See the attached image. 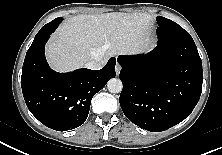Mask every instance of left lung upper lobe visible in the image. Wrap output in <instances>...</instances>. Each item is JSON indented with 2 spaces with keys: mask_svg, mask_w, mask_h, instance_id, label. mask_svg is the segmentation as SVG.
I'll list each match as a JSON object with an SVG mask.
<instances>
[{
  "mask_svg": "<svg viewBox=\"0 0 222 155\" xmlns=\"http://www.w3.org/2000/svg\"><path fill=\"white\" fill-rule=\"evenodd\" d=\"M158 38H192L190 34L175 22L164 17H157Z\"/></svg>",
  "mask_w": 222,
  "mask_h": 155,
  "instance_id": "obj_1",
  "label": "left lung upper lobe"
}]
</instances>
